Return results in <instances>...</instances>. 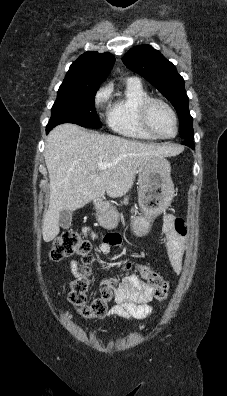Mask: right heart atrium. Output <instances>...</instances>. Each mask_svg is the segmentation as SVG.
Masks as SVG:
<instances>
[{
	"label": "right heart atrium",
	"mask_w": 227,
	"mask_h": 396,
	"mask_svg": "<svg viewBox=\"0 0 227 396\" xmlns=\"http://www.w3.org/2000/svg\"><path fill=\"white\" fill-rule=\"evenodd\" d=\"M110 95L109 89L108 88H102L100 89L96 96H95V103L96 105H101L102 103H104L108 97Z\"/></svg>",
	"instance_id": "obj_1"
}]
</instances>
